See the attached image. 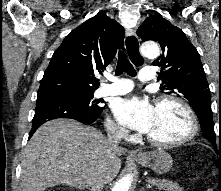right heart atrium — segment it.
Wrapping results in <instances>:
<instances>
[{
    "instance_id": "obj_1",
    "label": "right heart atrium",
    "mask_w": 221,
    "mask_h": 191,
    "mask_svg": "<svg viewBox=\"0 0 221 191\" xmlns=\"http://www.w3.org/2000/svg\"><path fill=\"white\" fill-rule=\"evenodd\" d=\"M105 124L109 134L119 139H131L129 131L114 118L108 117Z\"/></svg>"
}]
</instances>
